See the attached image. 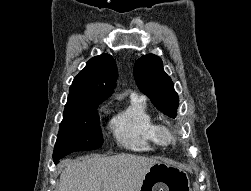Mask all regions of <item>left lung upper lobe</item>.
<instances>
[{
	"label": "left lung upper lobe",
	"instance_id": "5c2ea615",
	"mask_svg": "<svg viewBox=\"0 0 251 191\" xmlns=\"http://www.w3.org/2000/svg\"><path fill=\"white\" fill-rule=\"evenodd\" d=\"M134 77L141 92L146 94L154 106L164 114L175 118L179 98L171 78L164 72L160 57L147 54L134 64Z\"/></svg>",
	"mask_w": 251,
	"mask_h": 191
}]
</instances>
